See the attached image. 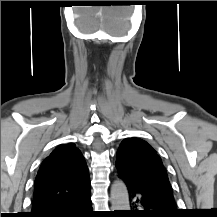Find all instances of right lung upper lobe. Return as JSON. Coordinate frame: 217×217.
I'll list each match as a JSON object with an SVG mask.
<instances>
[{
    "instance_id": "obj_1",
    "label": "right lung upper lobe",
    "mask_w": 217,
    "mask_h": 217,
    "mask_svg": "<svg viewBox=\"0 0 217 217\" xmlns=\"http://www.w3.org/2000/svg\"><path fill=\"white\" fill-rule=\"evenodd\" d=\"M90 192L85 159L73 143L62 144L42 162L35 180L32 211H45L64 200Z\"/></svg>"
}]
</instances>
